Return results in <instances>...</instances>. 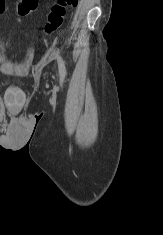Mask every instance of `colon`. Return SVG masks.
<instances>
[{
	"instance_id": "1",
	"label": "colon",
	"mask_w": 163,
	"mask_h": 235,
	"mask_svg": "<svg viewBox=\"0 0 163 235\" xmlns=\"http://www.w3.org/2000/svg\"><path fill=\"white\" fill-rule=\"evenodd\" d=\"M79 0H56L47 16L44 30L47 33L57 31L63 24L67 8H74ZM38 0H20L17 5V13L27 16L37 9ZM5 9V0H0V13Z\"/></svg>"
}]
</instances>
